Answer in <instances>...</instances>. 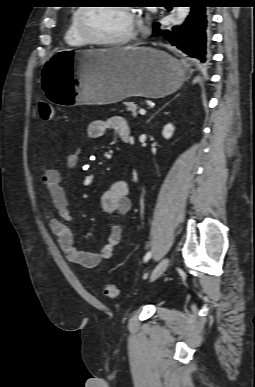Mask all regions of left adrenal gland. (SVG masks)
<instances>
[{"mask_svg": "<svg viewBox=\"0 0 255 387\" xmlns=\"http://www.w3.org/2000/svg\"><path fill=\"white\" fill-rule=\"evenodd\" d=\"M170 102L166 103L161 109H159L156 113H154L148 120L146 123H149L153 118L154 116L159 113L162 109H164Z\"/></svg>", "mask_w": 255, "mask_h": 387, "instance_id": "a2214340", "label": "left adrenal gland"}]
</instances>
